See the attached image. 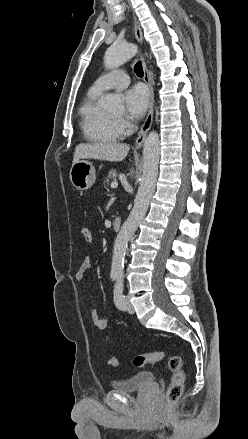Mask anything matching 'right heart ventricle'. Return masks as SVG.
<instances>
[{
	"label": "right heart ventricle",
	"instance_id": "right-heart-ventricle-1",
	"mask_svg": "<svg viewBox=\"0 0 248 439\" xmlns=\"http://www.w3.org/2000/svg\"><path fill=\"white\" fill-rule=\"evenodd\" d=\"M101 93L88 91L79 108L80 126L85 138L93 143H114L124 137L116 120L98 109Z\"/></svg>",
	"mask_w": 248,
	"mask_h": 439
}]
</instances>
